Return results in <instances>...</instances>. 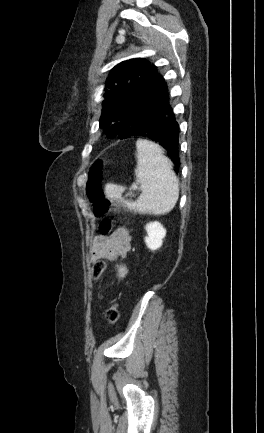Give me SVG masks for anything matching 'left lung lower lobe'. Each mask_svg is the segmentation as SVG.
Instances as JSON below:
<instances>
[{
  "mask_svg": "<svg viewBox=\"0 0 264 433\" xmlns=\"http://www.w3.org/2000/svg\"><path fill=\"white\" fill-rule=\"evenodd\" d=\"M120 125L129 137L147 138L163 146L175 164V172H179V125L162 76L141 93L121 118Z\"/></svg>",
  "mask_w": 264,
  "mask_h": 433,
  "instance_id": "1",
  "label": "left lung lower lobe"
}]
</instances>
